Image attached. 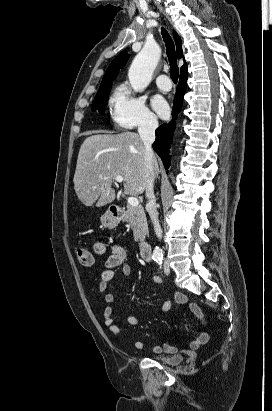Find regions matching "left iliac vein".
Masks as SVG:
<instances>
[{
  "label": "left iliac vein",
  "mask_w": 272,
  "mask_h": 411,
  "mask_svg": "<svg viewBox=\"0 0 272 411\" xmlns=\"http://www.w3.org/2000/svg\"><path fill=\"white\" fill-rule=\"evenodd\" d=\"M164 273L167 274V275L170 273V268H169V265L167 263L164 264Z\"/></svg>",
  "instance_id": "4c4485c4"
}]
</instances>
